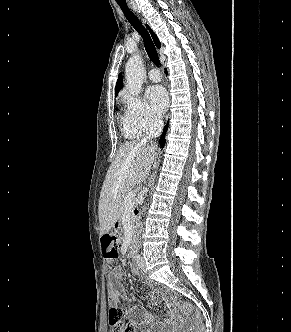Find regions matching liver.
<instances>
[{
  "instance_id": "liver-1",
  "label": "liver",
  "mask_w": 291,
  "mask_h": 332,
  "mask_svg": "<svg viewBox=\"0 0 291 332\" xmlns=\"http://www.w3.org/2000/svg\"><path fill=\"white\" fill-rule=\"evenodd\" d=\"M157 155L155 145L142 141L121 146L111 163L99 198L100 235H104L121 217V202L125 194L145 180Z\"/></svg>"
}]
</instances>
